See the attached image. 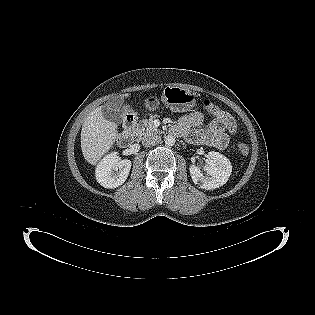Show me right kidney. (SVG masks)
<instances>
[{"label": "right kidney", "mask_w": 315, "mask_h": 315, "mask_svg": "<svg viewBox=\"0 0 315 315\" xmlns=\"http://www.w3.org/2000/svg\"><path fill=\"white\" fill-rule=\"evenodd\" d=\"M131 165L130 160H121L117 152H112L97 165L95 170L97 182L104 188H116L126 181Z\"/></svg>", "instance_id": "right-kidney-1"}]
</instances>
